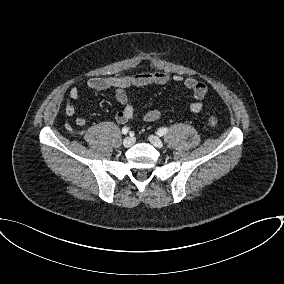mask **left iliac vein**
Listing matches in <instances>:
<instances>
[{
    "instance_id": "obj_1",
    "label": "left iliac vein",
    "mask_w": 284,
    "mask_h": 284,
    "mask_svg": "<svg viewBox=\"0 0 284 284\" xmlns=\"http://www.w3.org/2000/svg\"><path fill=\"white\" fill-rule=\"evenodd\" d=\"M149 141L156 148H162V146H163L162 140L157 136H153V135L149 136Z\"/></svg>"
}]
</instances>
